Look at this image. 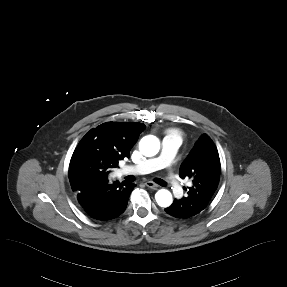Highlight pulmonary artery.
<instances>
[{
    "mask_svg": "<svg viewBox=\"0 0 287 287\" xmlns=\"http://www.w3.org/2000/svg\"><path fill=\"white\" fill-rule=\"evenodd\" d=\"M180 146L179 138L175 133L169 132L162 141V152L158 157L149 158L146 161L134 165L125 166L119 169V174H146L157 169H166L164 175L166 181L171 186L172 192L175 197L180 198L183 194V188L177 178L176 174L170 168L171 162Z\"/></svg>",
    "mask_w": 287,
    "mask_h": 287,
    "instance_id": "obj_1",
    "label": "pulmonary artery"
}]
</instances>
